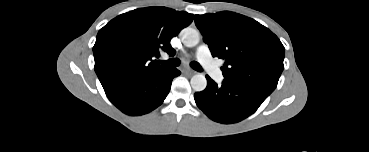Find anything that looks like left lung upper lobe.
<instances>
[{"mask_svg":"<svg viewBox=\"0 0 369 152\" xmlns=\"http://www.w3.org/2000/svg\"><path fill=\"white\" fill-rule=\"evenodd\" d=\"M195 24L212 55L225 60L223 81L274 91L284 69L285 52L274 33L229 11L196 15Z\"/></svg>","mask_w":369,"mask_h":152,"instance_id":"1","label":"left lung upper lobe"}]
</instances>
